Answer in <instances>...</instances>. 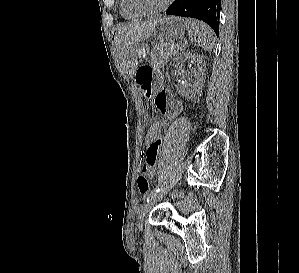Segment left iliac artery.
Wrapping results in <instances>:
<instances>
[{"mask_svg":"<svg viewBox=\"0 0 299 273\" xmlns=\"http://www.w3.org/2000/svg\"><path fill=\"white\" fill-rule=\"evenodd\" d=\"M158 192H160V185L151 192L150 196L147 198V202H149Z\"/></svg>","mask_w":299,"mask_h":273,"instance_id":"1","label":"left iliac artery"}]
</instances>
